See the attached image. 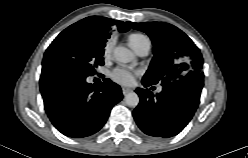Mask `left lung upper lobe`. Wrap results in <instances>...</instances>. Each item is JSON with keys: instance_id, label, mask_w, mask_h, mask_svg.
<instances>
[{"instance_id": "5c2ea615", "label": "left lung upper lobe", "mask_w": 248, "mask_h": 158, "mask_svg": "<svg viewBox=\"0 0 248 158\" xmlns=\"http://www.w3.org/2000/svg\"><path fill=\"white\" fill-rule=\"evenodd\" d=\"M128 24L149 35L154 57L143 80L162 86L184 78L202 80L203 57L194 42L177 27L163 22Z\"/></svg>"}]
</instances>
